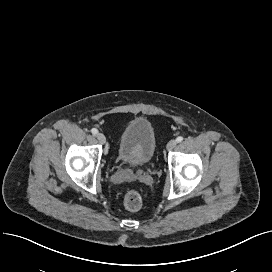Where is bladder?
Instances as JSON below:
<instances>
[{"label": "bladder", "mask_w": 272, "mask_h": 272, "mask_svg": "<svg viewBox=\"0 0 272 272\" xmlns=\"http://www.w3.org/2000/svg\"><path fill=\"white\" fill-rule=\"evenodd\" d=\"M156 146L152 123L146 117H137L123 130L117 148V157L123 163L145 166L152 161Z\"/></svg>", "instance_id": "obj_1"}]
</instances>
